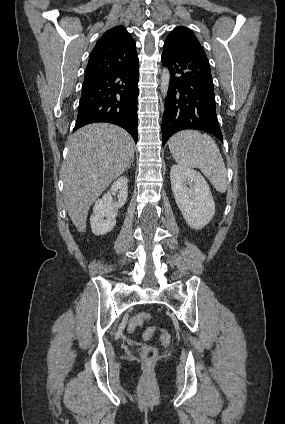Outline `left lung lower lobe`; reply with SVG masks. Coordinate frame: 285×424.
<instances>
[{"mask_svg":"<svg viewBox=\"0 0 285 424\" xmlns=\"http://www.w3.org/2000/svg\"><path fill=\"white\" fill-rule=\"evenodd\" d=\"M161 61L170 71L162 145L174 133L185 129L205 131L223 141L210 65L203 48L165 40Z\"/></svg>","mask_w":285,"mask_h":424,"instance_id":"1","label":"left lung lower lobe"}]
</instances>
